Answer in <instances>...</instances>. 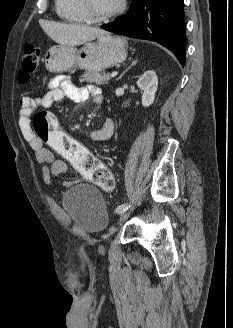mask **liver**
<instances>
[{"mask_svg": "<svg viewBox=\"0 0 233 328\" xmlns=\"http://www.w3.org/2000/svg\"><path fill=\"white\" fill-rule=\"evenodd\" d=\"M44 32L56 43L66 46L84 44L105 34V31L87 25L40 21Z\"/></svg>", "mask_w": 233, "mask_h": 328, "instance_id": "liver-1", "label": "liver"}]
</instances>
